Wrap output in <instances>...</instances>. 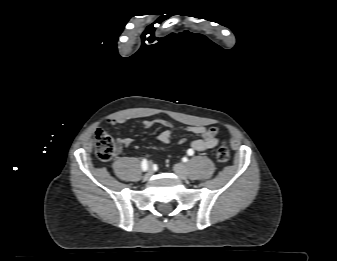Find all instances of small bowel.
Segmentation results:
<instances>
[{"label":"small bowel","mask_w":337,"mask_h":261,"mask_svg":"<svg viewBox=\"0 0 337 261\" xmlns=\"http://www.w3.org/2000/svg\"><path fill=\"white\" fill-rule=\"evenodd\" d=\"M122 122L123 121L120 119H114V120H110L108 123L110 125L115 126V125L121 124ZM156 123L167 128L165 131H163L156 137V140L162 144H166V145L170 144L172 142V139L175 133V130L173 129L171 122L167 120H163V119H159L156 121L144 120L142 122V125L144 128L148 129ZM184 130L198 136L197 139L192 140L189 143V148L192 149L193 151H205L208 149H212V148H215L220 142L219 138L217 137L218 128L215 126L190 125V126H186ZM117 140H118L119 145L124 146V147H129L133 143V139L128 138V137H118ZM146 140H149V139L146 138ZM184 143H185V139L181 138L179 140V144H184Z\"/></svg>","instance_id":"c3829d8e"}]
</instances>
